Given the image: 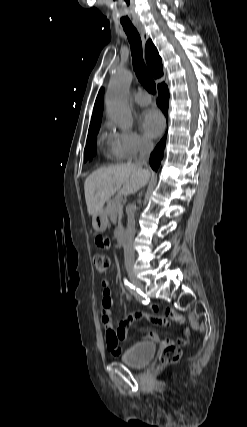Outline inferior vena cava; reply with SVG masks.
<instances>
[{
	"label": "inferior vena cava",
	"instance_id": "obj_1",
	"mask_svg": "<svg viewBox=\"0 0 247 427\" xmlns=\"http://www.w3.org/2000/svg\"><path fill=\"white\" fill-rule=\"evenodd\" d=\"M153 143L150 140L143 139L140 142L139 158L136 162V165L140 168L146 167L144 169L149 175L150 172L147 169V163L149 161L150 153L153 150ZM147 183V182H146ZM135 236V219H134V208H131L128 215V223L126 230V242L124 245V258H125V267L127 272H131L134 266L135 252L133 249V240Z\"/></svg>",
	"mask_w": 247,
	"mask_h": 427
}]
</instances>
